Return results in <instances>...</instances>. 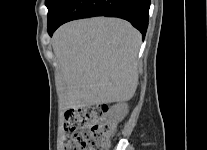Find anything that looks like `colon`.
<instances>
[{
	"instance_id": "1",
	"label": "colon",
	"mask_w": 207,
	"mask_h": 150,
	"mask_svg": "<svg viewBox=\"0 0 207 150\" xmlns=\"http://www.w3.org/2000/svg\"><path fill=\"white\" fill-rule=\"evenodd\" d=\"M64 126L72 133L65 150H107L116 131L98 107L66 112Z\"/></svg>"
}]
</instances>
